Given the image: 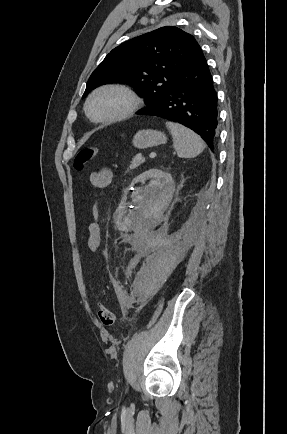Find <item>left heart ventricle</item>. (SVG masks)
<instances>
[{
    "mask_svg": "<svg viewBox=\"0 0 287 434\" xmlns=\"http://www.w3.org/2000/svg\"><path fill=\"white\" fill-rule=\"evenodd\" d=\"M127 105L126 97L117 91H107L95 97L90 105L94 117H108L120 113Z\"/></svg>",
    "mask_w": 287,
    "mask_h": 434,
    "instance_id": "obj_1",
    "label": "left heart ventricle"
}]
</instances>
